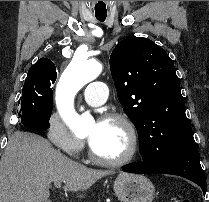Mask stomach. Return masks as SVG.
<instances>
[{"label": "stomach", "mask_w": 209, "mask_h": 202, "mask_svg": "<svg viewBox=\"0 0 209 202\" xmlns=\"http://www.w3.org/2000/svg\"><path fill=\"white\" fill-rule=\"evenodd\" d=\"M114 191L122 202H152L155 187L143 175L122 173L114 182Z\"/></svg>", "instance_id": "0dacf381"}]
</instances>
